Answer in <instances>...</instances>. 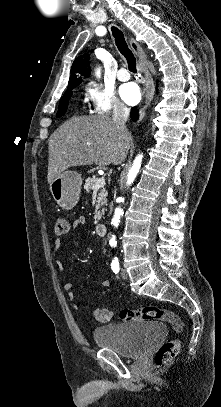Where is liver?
I'll return each instance as SVG.
<instances>
[{
  "mask_svg": "<svg viewBox=\"0 0 221 407\" xmlns=\"http://www.w3.org/2000/svg\"><path fill=\"white\" fill-rule=\"evenodd\" d=\"M131 143V134L123 133L107 115L74 117L50 136L47 181L51 184L70 167L118 165Z\"/></svg>",
  "mask_w": 221,
  "mask_h": 407,
  "instance_id": "liver-1",
  "label": "liver"
}]
</instances>
